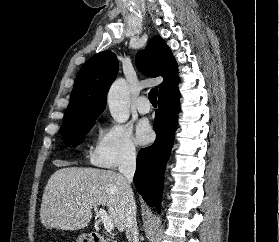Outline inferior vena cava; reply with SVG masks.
<instances>
[{"instance_id":"obj_1","label":"inferior vena cava","mask_w":279,"mask_h":242,"mask_svg":"<svg viewBox=\"0 0 279 242\" xmlns=\"http://www.w3.org/2000/svg\"><path fill=\"white\" fill-rule=\"evenodd\" d=\"M136 169V151L134 148L128 150L119 165V172L126 179L125 193L128 198V206L126 209L125 231L128 242H139V233L136 220V204L134 194L131 188L133 176Z\"/></svg>"}]
</instances>
